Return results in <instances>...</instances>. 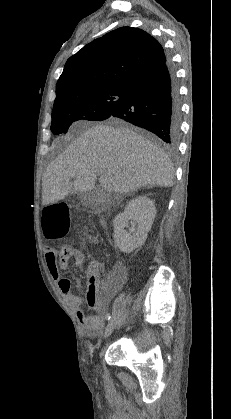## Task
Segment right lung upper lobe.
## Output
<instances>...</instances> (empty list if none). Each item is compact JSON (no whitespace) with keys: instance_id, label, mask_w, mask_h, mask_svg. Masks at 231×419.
<instances>
[{"instance_id":"cb5924a9","label":"right lung upper lobe","mask_w":231,"mask_h":419,"mask_svg":"<svg viewBox=\"0 0 231 419\" xmlns=\"http://www.w3.org/2000/svg\"><path fill=\"white\" fill-rule=\"evenodd\" d=\"M166 61L162 46L147 32L119 28L87 44L67 60L57 82L55 102L101 88L129 89Z\"/></svg>"}]
</instances>
